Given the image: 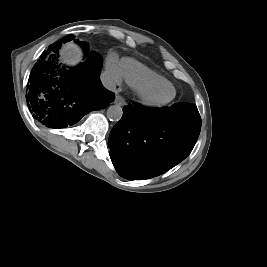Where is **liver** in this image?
<instances>
[{"instance_id":"obj_1","label":"liver","mask_w":267,"mask_h":267,"mask_svg":"<svg viewBox=\"0 0 267 267\" xmlns=\"http://www.w3.org/2000/svg\"><path fill=\"white\" fill-rule=\"evenodd\" d=\"M61 60L63 63L68 65H75L77 64L82 57V52L78 48V46L74 45L73 43H67L63 45L61 50Z\"/></svg>"}]
</instances>
